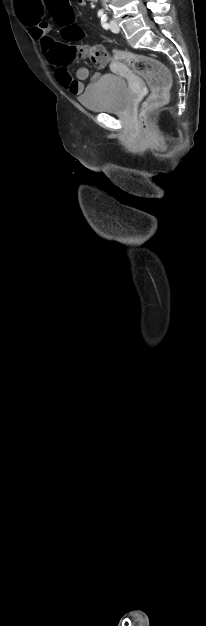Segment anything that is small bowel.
I'll return each mask as SVG.
<instances>
[{"mask_svg":"<svg viewBox=\"0 0 206 626\" xmlns=\"http://www.w3.org/2000/svg\"><path fill=\"white\" fill-rule=\"evenodd\" d=\"M77 4L83 7L86 5V0H77ZM28 25L30 26V35L39 42L47 61L56 67L55 78L57 82L70 93L80 95L84 91L82 81L88 78L89 70L86 67L78 68L76 71V79H73L67 69L63 65L57 64L54 59V50L57 44L53 43V41L47 37L49 25L45 22H36ZM116 64L119 65L118 63ZM98 76L99 74H95L92 81L96 80Z\"/></svg>","mask_w":206,"mask_h":626,"instance_id":"c3829d8e","label":"small bowel"}]
</instances>
